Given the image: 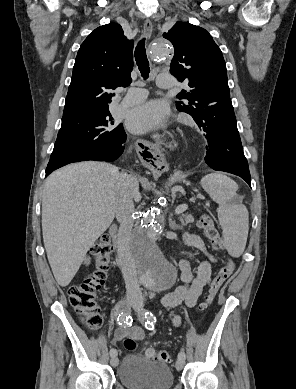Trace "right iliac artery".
I'll return each instance as SVG.
<instances>
[{
	"label": "right iliac artery",
	"instance_id": "1",
	"mask_svg": "<svg viewBox=\"0 0 296 389\" xmlns=\"http://www.w3.org/2000/svg\"><path fill=\"white\" fill-rule=\"evenodd\" d=\"M126 308H129V306H128L127 302H125V301H120L118 303V305L116 306V313L118 315L117 322H118L119 325L125 324L126 319H125L124 310ZM110 355H111V357L112 356H116L117 355V351L115 349H111L110 350Z\"/></svg>",
	"mask_w": 296,
	"mask_h": 389
}]
</instances>
